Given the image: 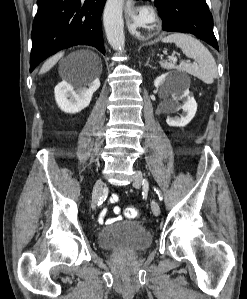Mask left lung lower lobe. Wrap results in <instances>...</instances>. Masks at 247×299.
Returning a JSON list of instances; mask_svg holds the SVG:
<instances>
[{"label":"left lung lower lobe","mask_w":247,"mask_h":299,"mask_svg":"<svg viewBox=\"0 0 247 299\" xmlns=\"http://www.w3.org/2000/svg\"><path fill=\"white\" fill-rule=\"evenodd\" d=\"M155 6L163 20V30L194 34L219 50L205 0H155Z\"/></svg>","instance_id":"obj_1"}]
</instances>
